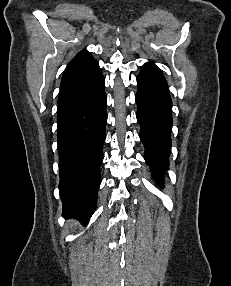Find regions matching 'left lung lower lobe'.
Here are the masks:
<instances>
[{"label": "left lung lower lobe", "instance_id": "0a47b994", "mask_svg": "<svg viewBox=\"0 0 231 286\" xmlns=\"http://www.w3.org/2000/svg\"><path fill=\"white\" fill-rule=\"evenodd\" d=\"M137 84V120L145 146L144 158L154 178L163 185V173L169 164L171 147L172 101L166 79L152 62L143 65Z\"/></svg>", "mask_w": 231, "mask_h": 286}]
</instances>
